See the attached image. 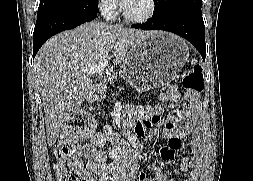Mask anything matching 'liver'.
I'll return each mask as SVG.
<instances>
[{
  "label": "liver",
  "mask_w": 253,
  "mask_h": 181,
  "mask_svg": "<svg viewBox=\"0 0 253 181\" xmlns=\"http://www.w3.org/2000/svg\"><path fill=\"white\" fill-rule=\"evenodd\" d=\"M152 32L92 21L59 33L42 46L33 73L43 101L49 146L93 93L94 85L84 68L102 59L121 65L128 49Z\"/></svg>",
  "instance_id": "liver-1"
}]
</instances>
